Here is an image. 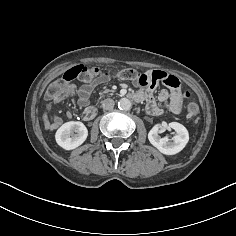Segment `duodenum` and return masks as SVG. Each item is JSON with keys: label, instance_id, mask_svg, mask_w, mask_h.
<instances>
[{"label": "duodenum", "instance_id": "duodenum-1", "mask_svg": "<svg viewBox=\"0 0 236 236\" xmlns=\"http://www.w3.org/2000/svg\"><path fill=\"white\" fill-rule=\"evenodd\" d=\"M132 99L135 101V102H140L141 100H139L138 98L132 96ZM96 108L93 107V106H89L87 108H85L82 113H81V116L85 119V120H90L92 119L95 115H96Z\"/></svg>", "mask_w": 236, "mask_h": 236}]
</instances>
